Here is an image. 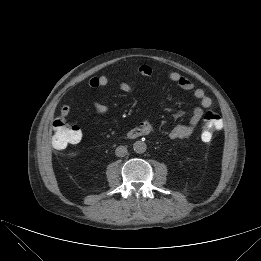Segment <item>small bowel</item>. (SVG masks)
Here are the masks:
<instances>
[{
	"label": "small bowel",
	"mask_w": 261,
	"mask_h": 261,
	"mask_svg": "<svg viewBox=\"0 0 261 261\" xmlns=\"http://www.w3.org/2000/svg\"><path fill=\"white\" fill-rule=\"evenodd\" d=\"M137 73L142 76H150L152 74V68L148 65H140L137 68ZM169 80L178 85L181 89L185 91H191L193 96L199 100V106L195 107L192 112V116L187 123L179 124L175 126L169 133V137L173 140H182L189 138L197 128L199 122L201 121L204 109L209 108L212 105V100L207 96L203 89L196 88L193 82L178 72H170L168 74ZM109 83V79L105 75L93 76L88 80V86L90 88H100L105 87ZM119 89L124 93H132L133 87L127 82H121L119 84ZM93 108L100 114L106 115L109 113V107L100 102L94 101ZM71 113V107L69 105H64L61 108V115L63 117H68ZM183 111H178L176 113L177 117L183 116ZM152 130V124L148 120H143L139 126L132 128L127 131V137L130 139L137 138L140 136L147 135Z\"/></svg>",
	"instance_id": "c3829d8e"
}]
</instances>
